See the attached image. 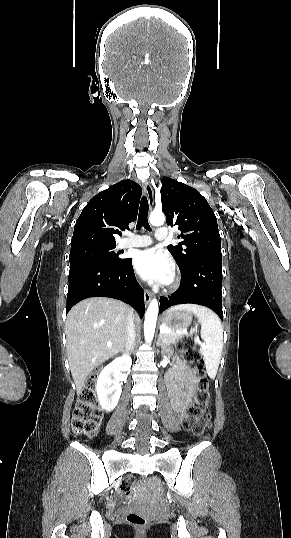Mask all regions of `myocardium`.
Returning <instances> with one entry per match:
<instances>
[{
	"label": "myocardium",
	"instance_id": "1",
	"mask_svg": "<svg viewBox=\"0 0 291 538\" xmlns=\"http://www.w3.org/2000/svg\"><path fill=\"white\" fill-rule=\"evenodd\" d=\"M179 282H180L179 276L175 272H173L171 278L166 283V287L168 289H174L179 285Z\"/></svg>",
	"mask_w": 291,
	"mask_h": 538
}]
</instances>
